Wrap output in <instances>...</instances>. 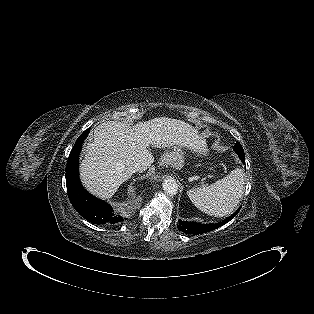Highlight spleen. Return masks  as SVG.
Instances as JSON below:
<instances>
[{
  "instance_id": "1",
  "label": "spleen",
  "mask_w": 314,
  "mask_h": 314,
  "mask_svg": "<svg viewBox=\"0 0 314 314\" xmlns=\"http://www.w3.org/2000/svg\"><path fill=\"white\" fill-rule=\"evenodd\" d=\"M243 191V170L237 168L215 183L190 189L187 194L195 207L202 212L223 217L235 210L241 201Z\"/></svg>"
}]
</instances>
